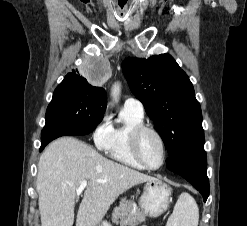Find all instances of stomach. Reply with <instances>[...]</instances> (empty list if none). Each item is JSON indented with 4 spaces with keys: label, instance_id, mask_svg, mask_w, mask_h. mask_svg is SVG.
<instances>
[{
    "label": "stomach",
    "instance_id": "obj_1",
    "mask_svg": "<svg viewBox=\"0 0 247 226\" xmlns=\"http://www.w3.org/2000/svg\"><path fill=\"white\" fill-rule=\"evenodd\" d=\"M171 187L160 179L146 181L139 205L144 215L159 217L169 207L171 201ZM97 226H107L102 223Z\"/></svg>",
    "mask_w": 247,
    "mask_h": 226
}]
</instances>
